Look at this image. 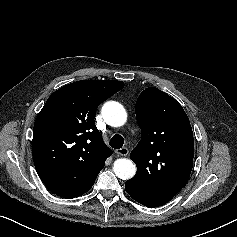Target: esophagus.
Wrapping results in <instances>:
<instances>
[{
    "label": "esophagus",
    "mask_w": 237,
    "mask_h": 237,
    "mask_svg": "<svg viewBox=\"0 0 237 237\" xmlns=\"http://www.w3.org/2000/svg\"><path fill=\"white\" fill-rule=\"evenodd\" d=\"M115 153L120 156H127L129 154V150L128 148L124 147V148L115 150Z\"/></svg>",
    "instance_id": "1"
}]
</instances>
